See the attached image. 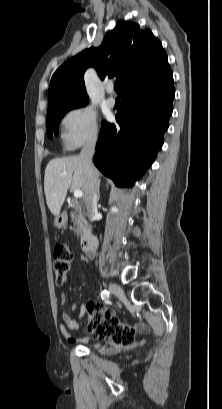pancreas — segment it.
<instances>
[{
    "label": "pancreas",
    "instance_id": "pancreas-1",
    "mask_svg": "<svg viewBox=\"0 0 222 409\" xmlns=\"http://www.w3.org/2000/svg\"><path fill=\"white\" fill-rule=\"evenodd\" d=\"M72 208L73 210L71 211L70 216L76 227L75 232L77 236H81V239H83L88 232V224L85 219L84 210L82 205L76 199L72 201Z\"/></svg>",
    "mask_w": 222,
    "mask_h": 409
}]
</instances>
